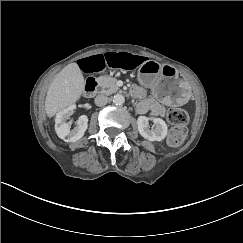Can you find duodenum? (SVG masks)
<instances>
[{
    "mask_svg": "<svg viewBox=\"0 0 243 243\" xmlns=\"http://www.w3.org/2000/svg\"><path fill=\"white\" fill-rule=\"evenodd\" d=\"M97 88V81L94 78H89L86 81L85 88H84V95L86 97H91Z\"/></svg>",
    "mask_w": 243,
    "mask_h": 243,
    "instance_id": "1",
    "label": "duodenum"
}]
</instances>
